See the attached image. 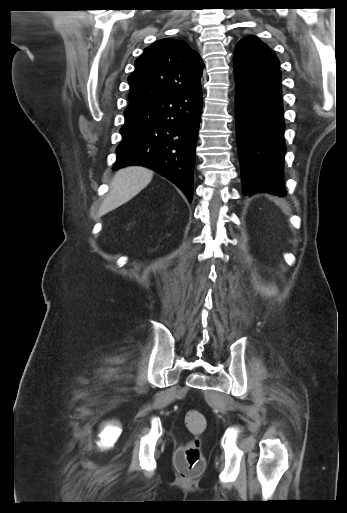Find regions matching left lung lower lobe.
Instances as JSON below:
<instances>
[{
	"label": "left lung lower lobe",
	"instance_id": "left-lung-lower-lobe-1",
	"mask_svg": "<svg viewBox=\"0 0 347 513\" xmlns=\"http://www.w3.org/2000/svg\"><path fill=\"white\" fill-rule=\"evenodd\" d=\"M236 128L244 194L285 196V156L281 72L235 62Z\"/></svg>",
	"mask_w": 347,
	"mask_h": 513
}]
</instances>
